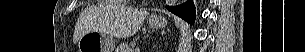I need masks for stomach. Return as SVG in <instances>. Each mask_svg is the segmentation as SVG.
Here are the masks:
<instances>
[{
	"label": "stomach",
	"instance_id": "0dacf381",
	"mask_svg": "<svg viewBox=\"0 0 305 52\" xmlns=\"http://www.w3.org/2000/svg\"><path fill=\"white\" fill-rule=\"evenodd\" d=\"M154 29H162L167 25L164 17L156 16L149 21ZM78 52H116L115 40L102 31H89L83 34L77 42Z\"/></svg>",
	"mask_w": 305,
	"mask_h": 52
}]
</instances>
